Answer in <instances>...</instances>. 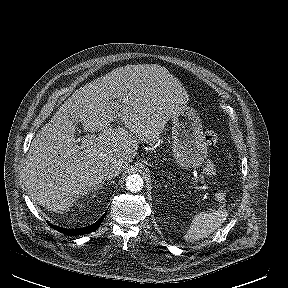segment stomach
<instances>
[{
  "label": "stomach",
  "mask_w": 288,
  "mask_h": 288,
  "mask_svg": "<svg viewBox=\"0 0 288 288\" xmlns=\"http://www.w3.org/2000/svg\"><path fill=\"white\" fill-rule=\"evenodd\" d=\"M171 120L176 165L185 170L201 166L207 158L208 146L200 116L193 108L183 104L172 114Z\"/></svg>",
  "instance_id": "obj_1"
}]
</instances>
